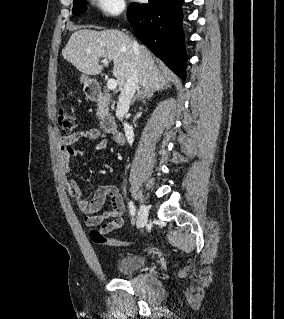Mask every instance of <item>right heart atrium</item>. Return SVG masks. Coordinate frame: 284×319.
<instances>
[{"label":"right heart atrium","mask_w":284,"mask_h":319,"mask_svg":"<svg viewBox=\"0 0 284 319\" xmlns=\"http://www.w3.org/2000/svg\"><path fill=\"white\" fill-rule=\"evenodd\" d=\"M103 16L111 18L121 15L126 9L125 0H91Z\"/></svg>","instance_id":"d8ad5b80"}]
</instances>
